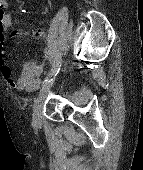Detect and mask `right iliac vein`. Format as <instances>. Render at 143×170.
<instances>
[{"label":"right iliac vein","instance_id":"1","mask_svg":"<svg viewBox=\"0 0 143 170\" xmlns=\"http://www.w3.org/2000/svg\"><path fill=\"white\" fill-rule=\"evenodd\" d=\"M53 83H54V80L45 82L39 92L37 99L35 100V103L33 106V123L36 125L41 122L42 104L47 93L53 86Z\"/></svg>","mask_w":143,"mask_h":170}]
</instances>
